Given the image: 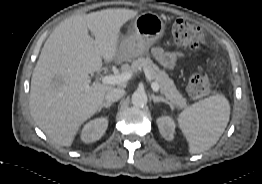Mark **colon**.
I'll return each instance as SVG.
<instances>
[{
  "instance_id": "1",
  "label": "colon",
  "mask_w": 262,
  "mask_h": 184,
  "mask_svg": "<svg viewBox=\"0 0 262 184\" xmlns=\"http://www.w3.org/2000/svg\"><path fill=\"white\" fill-rule=\"evenodd\" d=\"M174 41L187 51L197 50L204 41L203 30L193 23L177 19L172 25ZM187 90L192 99L205 97L210 91V82L202 68L193 72L188 80Z\"/></svg>"
}]
</instances>
